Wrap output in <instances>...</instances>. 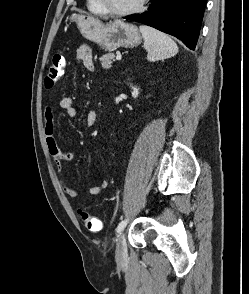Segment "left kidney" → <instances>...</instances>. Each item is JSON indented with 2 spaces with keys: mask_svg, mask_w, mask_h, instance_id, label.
Segmentation results:
<instances>
[{
  "mask_svg": "<svg viewBox=\"0 0 249 294\" xmlns=\"http://www.w3.org/2000/svg\"><path fill=\"white\" fill-rule=\"evenodd\" d=\"M132 89H133V91H132V97L137 98L138 97V94H139V88L132 86Z\"/></svg>",
  "mask_w": 249,
  "mask_h": 294,
  "instance_id": "5707ae66",
  "label": "left kidney"
}]
</instances>
